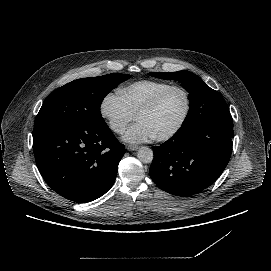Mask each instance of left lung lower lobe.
I'll use <instances>...</instances> for the list:
<instances>
[{"mask_svg":"<svg viewBox=\"0 0 271 271\" xmlns=\"http://www.w3.org/2000/svg\"><path fill=\"white\" fill-rule=\"evenodd\" d=\"M233 137V120H206L179 129L169 140L153 147L150 177L170 194H197L224 171L231 157Z\"/></svg>","mask_w":271,"mask_h":271,"instance_id":"obj_1","label":"left lung lower lobe"}]
</instances>
